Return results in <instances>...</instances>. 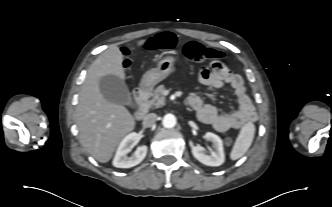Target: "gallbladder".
<instances>
[{
	"instance_id": "obj_1",
	"label": "gallbladder",
	"mask_w": 332,
	"mask_h": 207,
	"mask_svg": "<svg viewBox=\"0 0 332 207\" xmlns=\"http://www.w3.org/2000/svg\"><path fill=\"white\" fill-rule=\"evenodd\" d=\"M99 89L108 102L134 108L128 87L121 78L115 75L103 76L99 80Z\"/></svg>"
}]
</instances>
